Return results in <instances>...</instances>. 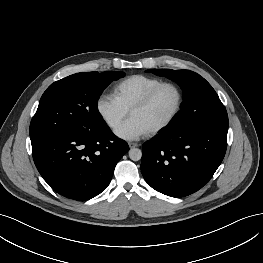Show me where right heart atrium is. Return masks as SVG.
Returning <instances> with one entry per match:
<instances>
[{
	"instance_id": "right-heart-atrium-1",
	"label": "right heart atrium",
	"mask_w": 263,
	"mask_h": 263,
	"mask_svg": "<svg viewBox=\"0 0 263 263\" xmlns=\"http://www.w3.org/2000/svg\"><path fill=\"white\" fill-rule=\"evenodd\" d=\"M96 110L103 122L111 129L117 128L128 114L111 94H102L96 102Z\"/></svg>"
}]
</instances>
